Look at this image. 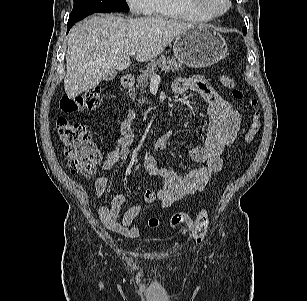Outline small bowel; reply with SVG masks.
I'll list each match as a JSON object with an SVG mask.
<instances>
[{
  "label": "small bowel",
  "instance_id": "c3829d8e",
  "mask_svg": "<svg viewBox=\"0 0 307 301\" xmlns=\"http://www.w3.org/2000/svg\"><path fill=\"white\" fill-rule=\"evenodd\" d=\"M173 90L177 94L194 91L206 106L209 117L206 140L202 145H197L186 152L191 161L202 163L203 166L180 177L159 163L156 152L166 148L171 132L160 136L155 143V151L146 152L143 159L147 173L160 178L161 186L158 189L148 188L144 193L143 203L130 206L120 219L119 213L125 202V197L121 193L115 194L110 204L102 206L99 211L100 219L108 229L127 238L133 239L140 235V229L134 225V221L142 213L144 206L158 202L162 208H168L175 201L202 191L211 176L222 169L221 155L234 142L240 128L241 113L223 99L205 78L201 76L177 78L173 83ZM135 119L134 110H128L115 119L113 127L122 134V137L116 147L106 154L101 166L103 172L109 171L118 162L128 158L130 146L134 141L132 124ZM107 184L108 179L105 176L95 179V190L99 198L105 196Z\"/></svg>",
  "mask_w": 307,
  "mask_h": 301
}]
</instances>
